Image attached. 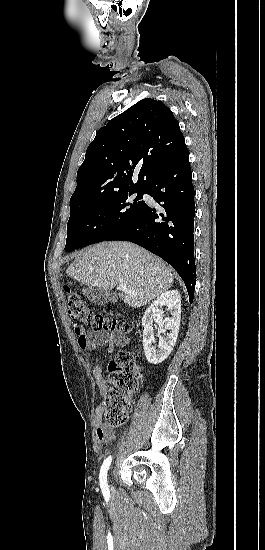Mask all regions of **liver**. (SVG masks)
Listing matches in <instances>:
<instances>
[{"mask_svg":"<svg viewBox=\"0 0 265 550\" xmlns=\"http://www.w3.org/2000/svg\"><path fill=\"white\" fill-rule=\"evenodd\" d=\"M68 276L81 284L111 290L124 284L120 298L140 308L166 292L173 284L174 270L162 259L130 242H101L80 251L67 268Z\"/></svg>","mask_w":265,"mask_h":550,"instance_id":"6515ba94","label":"liver"}]
</instances>
